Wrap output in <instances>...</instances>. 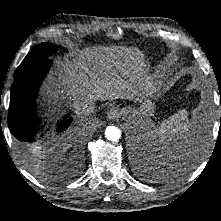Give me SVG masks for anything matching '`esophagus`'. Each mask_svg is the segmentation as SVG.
Instances as JSON below:
<instances>
[{
  "mask_svg": "<svg viewBox=\"0 0 221 221\" xmlns=\"http://www.w3.org/2000/svg\"><path fill=\"white\" fill-rule=\"evenodd\" d=\"M120 110L119 109H117V108H112V109H110L109 111H108V113H107V118L109 119V120H115V119H117L119 116H120Z\"/></svg>",
  "mask_w": 221,
  "mask_h": 221,
  "instance_id": "34e87169",
  "label": "esophagus"
}]
</instances>
